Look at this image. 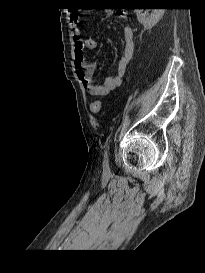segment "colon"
<instances>
[{
    "instance_id": "5ec220e1",
    "label": "colon",
    "mask_w": 205,
    "mask_h": 273,
    "mask_svg": "<svg viewBox=\"0 0 205 273\" xmlns=\"http://www.w3.org/2000/svg\"><path fill=\"white\" fill-rule=\"evenodd\" d=\"M91 111L95 114H98L100 113L101 111V108H102V103L99 99L97 100H94L92 103H91Z\"/></svg>"
}]
</instances>
